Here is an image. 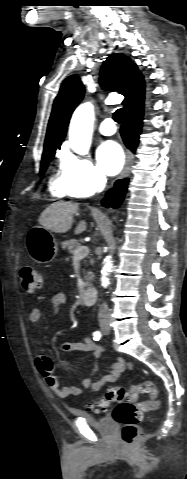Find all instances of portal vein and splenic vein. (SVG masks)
I'll return each mask as SVG.
<instances>
[{
  "instance_id": "portal-vein-and-splenic-vein-1",
  "label": "portal vein and splenic vein",
  "mask_w": 187,
  "mask_h": 479,
  "mask_svg": "<svg viewBox=\"0 0 187 479\" xmlns=\"http://www.w3.org/2000/svg\"><path fill=\"white\" fill-rule=\"evenodd\" d=\"M89 253V248L87 246H80L74 252V260H80L86 257Z\"/></svg>"
}]
</instances>
